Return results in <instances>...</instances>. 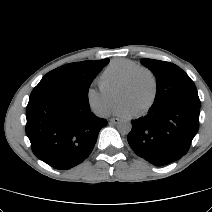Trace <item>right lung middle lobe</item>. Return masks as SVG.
Listing matches in <instances>:
<instances>
[{
    "instance_id": "obj_1",
    "label": "right lung middle lobe",
    "mask_w": 212,
    "mask_h": 212,
    "mask_svg": "<svg viewBox=\"0 0 212 212\" xmlns=\"http://www.w3.org/2000/svg\"><path fill=\"white\" fill-rule=\"evenodd\" d=\"M108 63L109 59L82 61L56 68L41 79L30 98L42 94L64 95L88 104L89 87Z\"/></svg>"
}]
</instances>
